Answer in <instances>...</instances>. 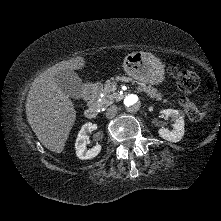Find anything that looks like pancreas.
<instances>
[{
	"mask_svg": "<svg viewBox=\"0 0 221 221\" xmlns=\"http://www.w3.org/2000/svg\"><path fill=\"white\" fill-rule=\"evenodd\" d=\"M119 80L124 81V82L131 81V79L127 77H120V78H116L112 80H107L105 83L104 89L102 90L103 97L101 98V102H100L101 107H107L113 103L114 98H115L114 92L116 90L115 84ZM138 90L145 92L152 99H156L157 101L163 100V102H168L167 99H163L162 93L158 92L156 88L150 85L147 86L144 83H139Z\"/></svg>",
	"mask_w": 221,
	"mask_h": 221,
	"instance_id": "obj_1",
	"label": "pancreas"
}]
</instances>
